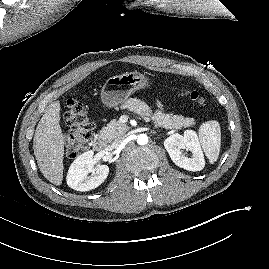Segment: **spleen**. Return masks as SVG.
I'll return each mask as SVG.
<instances>
[{
    "label": "spleen",
    "mask_w": 269,
    "mask_h": 269,
    "mask_svg": "<svg viewBox=\"0 0 269 269\" xmlns=\"http://www.w3.org/2000/svg\"><path fill=\"white\" fill-rule=\"evenodd\" d=\"M200 144L209 162L217 161L221 146V129L219 122L211 120L203 123L199 128Z\"/></svg>",
    "instance_id": "3e777b00"
}]
</instances>
